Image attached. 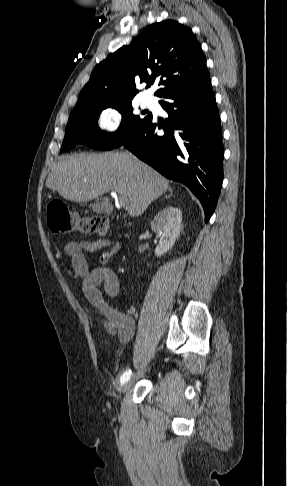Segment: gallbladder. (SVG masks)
Here are the masks:
<instances>
[{"label": "gallbladder", "instance_id": "obj_1", "mask_svg": "<svg viewBox=\"0 0 287 486\" xmlns=\"http://www.w3.org/2000/svg\"><path fill=\"white\" fill-rule=\"evenodd\" d=\"M90 207L97 214L109 213L112 210V206L106 201L93 202Z\"/></svg>", "mask_w": 287, "mask_h": 486}]
</instances>
